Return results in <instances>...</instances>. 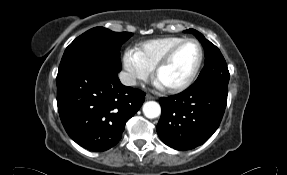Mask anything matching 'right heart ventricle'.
<instances>
[{"instance_id": "e07e8e85", "label": "right heart ventricle", "mask_w": 287, "mask_h": 175, "mask_svg": "<svg viewBox=\"0 0 287 175\" xmlns=\"http://www.w3.org/2000/svg\"><path fill=\"white\" fill-rule=\"evenodd\" d=\"M184 39L176 36L151 39L137 45L136 52L140 59L152 70L173 46Z\"/></svg>"}]
</instances>
